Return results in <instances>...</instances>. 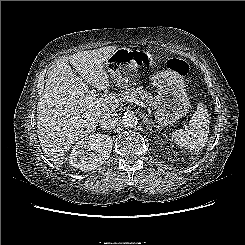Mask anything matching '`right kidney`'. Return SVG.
Here are the masks:
<instances>
[{"label":"right kidney","instance_id":"right-kidney-1","mask_svg":"<svg viewBox=\"0 0 245 245\" xmlns=\"http://www.w3.org/2000/svg\"><path fill=\"white\" fill-rule=\"evenodd\" d=\"M112 145L113 141L108 135L93 134L85 137L73 146L70 164L82 171L94 170L109 158Z\"/></svg>","mask_w":245,"mask_h":245}]
</instances>
